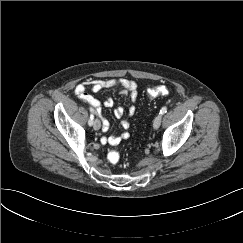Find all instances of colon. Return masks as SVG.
I'll return each mask as SVG.
<instances>
[{"mask_svg":"<svg viewBox=\"0 0 243 243\" xmlns=\"http://www.w3.org/2000/svg\"><path fill=\"white\" fill-rule=\"evenodd\" d=\"M147 93L150 97L165 96L169 94V89L164 85H159L149 88ZM107 158L111 164H117L120 160V153L116 150H111Z\"/></svg>","mask_w":243,"mask_h":243,"instance_id":"obj_1","label":"colon"}]
</instances>
